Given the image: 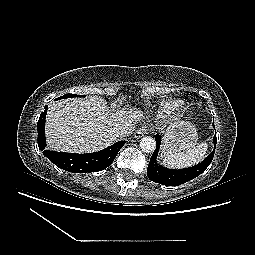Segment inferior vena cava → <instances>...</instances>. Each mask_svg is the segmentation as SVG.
<instances>
[{"instance_id": "1", "label": "inferior vena cava", "mask_w": 255, "mask_h": 255, "mask_svg": "<svg viewBox=\"0 0 255 255\" xmlns=\"http://www.w3.org/2000/svg\"><path fill=\"white\" fill-rule=\"evenodd\" d=\"M131 132L132 129L127 125L119 126L114 129L115 137L120 140L126 138Z\"/></svg>"}]
</instances>
